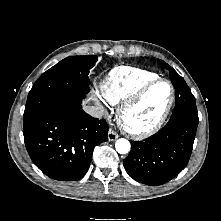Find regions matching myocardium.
<instances>
[{
    "instance_id": "obj_1",
    "label": "myocardium",
    "mask_w": 221,
    "mask_h": 221,
    "mask_svg": "<svg viewBox=\"0 0 221 221\" xmlns=\"http://www.w3.org/2000/svg\"><path fill=\"white\" fill-rule=\"evenodd\" d=\"M159 83H167L170 86L171 90L170 98L164 110L162 111L160 116L148 126L137 127L132 125L128 119L129 115L133 112L134 109H136L143 103L148 92ZM175 96L176 93L173 83L166 78L158 77L141 87L135 95H133L121 105L117 114L119 124L121 125L123 130L132 137L142 138L151 135L156 132L166 121L175 102Z\"/></svg>"
}]
</instances>
